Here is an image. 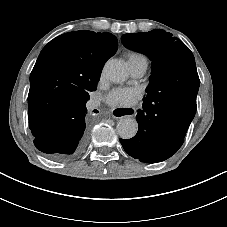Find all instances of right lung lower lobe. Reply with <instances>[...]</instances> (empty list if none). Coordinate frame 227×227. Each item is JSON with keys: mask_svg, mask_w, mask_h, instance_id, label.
Wrapping results in <instances>:
<instances>
[{"mask_svg": "<svg viewBox=\"0 0 227 227\" xmlns=\"http://www.w3.org/2000/svg\"><path fill=\"white\" fill-rule=\"evenodd\" d=\"M88 99L69 102L64 106L60 121L35 137L36 148L49 159L68 160L79 154L84 147L87 138L85 104Z\"/></svg>", "mask_w": 227, "mask_h": 227, "instance_id": "right-lung-lower-lobe-1", "label": "right lung lower lobe"}]
</instances>
